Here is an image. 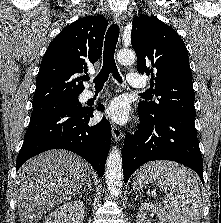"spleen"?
Listing matches in <instances>:
<instances>
[{
  "mask_svg": "<svg viewBox=\"0 0 221 223\" xmlns=\"http://www.w3.org/2000/svg\"><path fill=\"white\" fill-rule=\"evenodd\" d=\"M155 183L165 191L164 206L175 223H199L201 194L194 175L186 167L171 161H154L135 174L133 187Z\"/></svg>",
  "mask_w": 221,
  "mask_h": 223,
  "instance_id": "3e777b00",
  "label": "spleen"
}]
</instances>
